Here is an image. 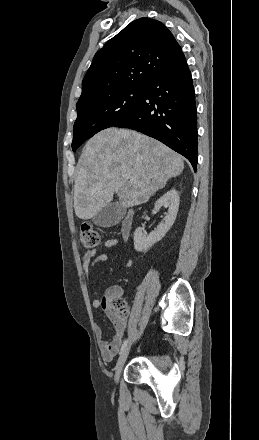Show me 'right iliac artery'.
<instances>
[{"instance_id":"right-iliac-artery-1","label":"right iliac artery","mask_w":259,"mask_h":440,"mask_svg":"<svg viewBox=\"0 0 259 440\" xmlns=\"http://www.w3.org/2000/svg\"><path fill=\"white\" fill-rule=\"evenodd\" d=\"M127 343H128V339H125L123 344H122L120 353H122L125 350V348L127 347Z\"/></svg>"}]
</instances>
